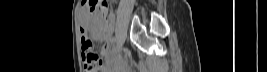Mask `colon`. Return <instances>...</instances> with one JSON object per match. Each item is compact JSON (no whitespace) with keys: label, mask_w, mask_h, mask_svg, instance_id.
I'll return each mask as SVG.
<instances>
[{"label":"colon","mask_w":267,"mask_h":72,"mask_svg":"<svg viewBox=\"0 0 267 72\" xmlns=\"http://www.w3.org/2000/svg\"><path fill=\"white\" fill-rule=\"evenodd\" d=\"M85 4L92 13L101 15L104 19L107 18L108 1L107 0H86ZM91 42L85 38L82 42V58L85 72H95L99 62V56L90 51Z\"/></svg>","instance_id":"colon-1"}]
</instances>
